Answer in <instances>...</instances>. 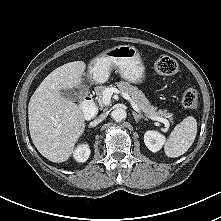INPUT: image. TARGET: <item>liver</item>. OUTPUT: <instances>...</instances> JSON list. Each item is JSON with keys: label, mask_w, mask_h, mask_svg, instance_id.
<instances>
[{"label": "liver", "mask_w": 221, "mask_h": 221, "mask_svg": "<svg viewBox=\"0 0 221 221\" xmlns=\"http://www.w3.org/2000/svg\"><path fill=\"white\" fill-rule=\"evenodd\" d=\"M86 64L74 61L53 70L35 90L28 105L29 131L37 150L56 163L67 161L85 131V116L62 89L81 88Z\"/></svg>", "instance_id": "obj_1"}]
</instances>
